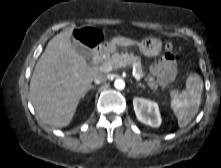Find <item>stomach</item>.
<instances>
[{"label":"stomach","instance_id":"0dacf381","mask_svg":"<svg viewBox=\"0 0 221 168\" xmlns=\"http://www.w3.org/2000/svg\"><path fill=\"white\" fill-rule=\"evenodd\" d=\"M137 46L142 54L147 57H155L160 54L162 50V42L154 37L146 38L141 42L137 43ZM116 47L111 43H106L103 45V50L106 53L113 52Z\"/></svg>","mask_w":221,"mask_h":168}]
</instances>
